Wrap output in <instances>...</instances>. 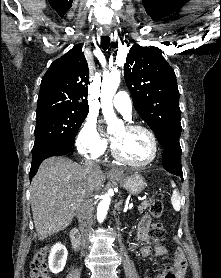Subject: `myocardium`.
Returning <instances> with one entry per match:
<instances>
[{
    "label": "myocardium",
    "instance_id": "f54148a6",
    "mask_svg": "<svg viewBox=\"0 0 221 278\" xmlns=\"http://www.w3.org/2000/svg\"><path fill=\"white\" fill-rule=\"evenodd\" d=\"M125 129H127L129 131H141L148 135V137L150 138V141H151V146H152L151 157L147 161L141 162V163L129 161L128 159H126L119 153V151L117 150V148L114 144L111 147V152H112V155L114 156V158L116 160H118L119 162H121L127 166L133 167V168H144V167H147L150 164H152L157 159V156H158V142H157V139H156V136L154 135V133L150 129H148L144 126H141V125H133V124L127 125L125 127Z\"/></svg>",
    "mask_w": 221,
    "mask_h": 278
}]
</instances>
